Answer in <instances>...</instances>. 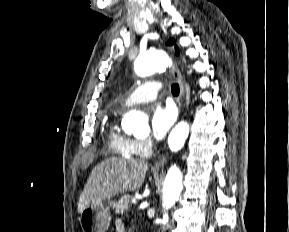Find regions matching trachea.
I'll list each match as a JSON object with an SVG mask.
<instances>
[{"instance_id": "obj_1", "label": "trachea", "mask_w": 289, "mask_h": 232, "mask_svg": "<svg viewBox=\"0 0 289 232\" xmlns=\"http://www.w3.org/2000/svg\"><path fill=\"white\" fill-rule=\"evenodd\" d=\"M179 91H180V89H179V85L178 84H172V86H171V92H172V94L174 95V96H177V95H179Z\"/></svg>"}]
</instances>
